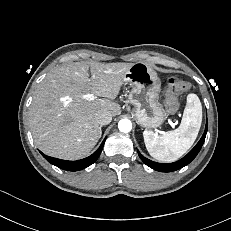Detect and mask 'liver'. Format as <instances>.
Listing matches in <instances>:
<instances>
[{
	"label": "liver",
	"instance_id": "liver-1",
	"mask_svg": "<svg viewBox=\"0 0 231 231\" xmlns=\"http://www.w3.org/2000/svg\"><path fill=\"white\" fill-rule=\"evenodd\" d=\"M133 63L75 62L52 70L37 86L29 108L36 146L46 155L64 160L87 156L101 137L95 113L120 112L114 100L123 76ZM92 76L89 77L88 69ZM92 92L103 99L88 101Z\"/></svg>",
	"mask_w": 231,
	"mask_h": 231
}]
</instances>
